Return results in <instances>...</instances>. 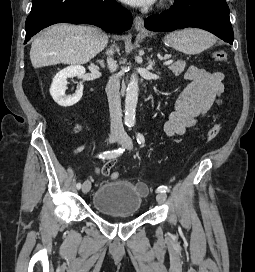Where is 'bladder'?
<instances>
[{
  "label": "bladder",
  "mask_w": 255,
  "mask_h": 272,
  "mask_svg": "<svg viewBox=\"0 0 255 272\" xmlns=\"http://www.w3.org/2000/svg\"><path fill=\"white\" fill-rule=\"evenodd\" d=\"M92 204L105 216H135L142 206V193L130 181H108L94 192Z\"/></svg>",
  "instance_id": "obj_1"
}]
</instances>
